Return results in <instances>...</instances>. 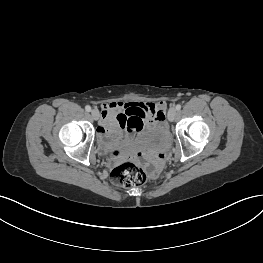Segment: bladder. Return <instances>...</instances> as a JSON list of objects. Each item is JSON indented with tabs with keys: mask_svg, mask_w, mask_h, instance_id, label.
<instances>
[{
	"mask_svg": "<svg viewBox=\"0 0 263 263\" xmlns=\"http://www.w3.org/2000/svg\"><path fill=\"white\" fill-rule=\"evenodd\" d=\"M168 141L167 127L163 123H157L141 134L138 143L145 147H159L166 145Z\"/></svg>",
	"mask_w": 263,
	"mask_h": 263,
	"instance_id": "bladder-1",
	"label": "bladder"
}]
</instances>
